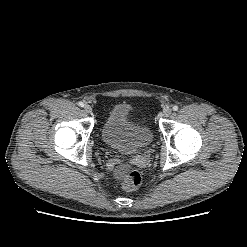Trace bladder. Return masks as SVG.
I'll return each mask as SVG.
<instances>
[{"mask_svg":"<svg viewBox=\"0 0 247 247\" xmlns=\"http://www.w3.org/2000/svg\"><path fill=\"white\" fill-rule=\"evenodd\" d=\"M129 105L113 106L101 126V138L112 149L131 155L146 149L153 140L150 127L132 117Z\"/></svg>","mask_w":247,"mask_h":247,"instance_id":"1","label":"bladder"}]
</instances>
